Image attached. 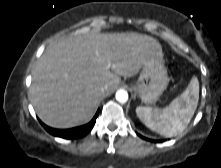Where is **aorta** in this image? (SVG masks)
<instances>
[{
    "instance_id": "762f6f07",
    "label": "aorta",
    "mask_w": 221,
    "mask_h": 168,
    "mask_svg": "<svg viewBox=\"0 0 221 168\" xmlns=\"http://www.w3.org/2000/svg\"><path fill=\"white\" fill-rule=\"evenodd\" d=\"M116 100L120 103H125L128 100V93L127 91L120 89L116 92Z\"/></svg>"
}]
</instances>
